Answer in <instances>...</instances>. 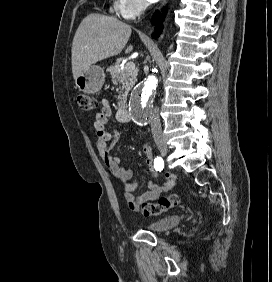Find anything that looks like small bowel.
Wrapping results in <instances>:
<instances>
[{"label":"small bowel","mask_w":272,"mask_h":282,"mask_svg":"<svg viewBox=\"0 0 272 282\" xmlns=\"http://www.w3.org/2000/svg\"><path fill=\"white\" fill-rule=\"evenodd\" d=\"M112 114L111 107L107 100L102 101V107L96 114L93 122V127L97 134V151L101 156L105 166L109 171L124 184V198L130 210L138 212L141 206L145 202H152L158 200V198L171 188V183L174 181L172 174H167L166 178L168 183L163 185H156L150 183L149 190L136 195L134 192L137 189V182L133 180V170L122 164L121 159L112 155L114 146L117 144L121 137V132L118 130L112 133L106 130V124L109 117ZM134 131L143 137V132L134 128ZM142 152L145 155L146 165L151 171H153V154L149 146L144 145Z\"/></svg>","instance_id":"obj_1"}]
</instances>
